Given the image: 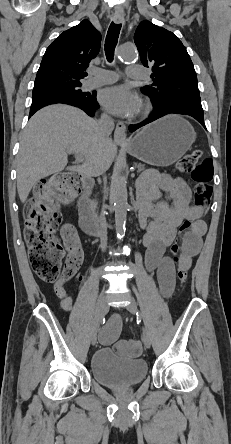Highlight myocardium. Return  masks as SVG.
<instances>
[{
    "label": "myocardium",
    "mask_w": 231,
    "mask_h": 444,
    "mask_svg": "<svg viewBox=\"0 0 231 444\" xmlns=\"http://www.w3.org/2000/svg\"><path fill=\"white\" fill-rule=\"evenodd\" d=\"M149 110H150V104L147 101H143L140 104V108H139L140 113L141 114H146V113L149 112Z\"/></svg>",
    "instance_id": "1"
}]
</instances>
